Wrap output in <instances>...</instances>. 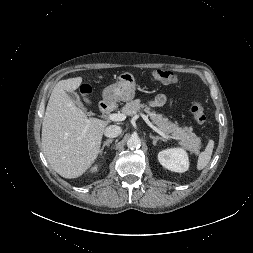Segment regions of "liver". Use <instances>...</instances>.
<instances>
[{
	"mask_svg": "<svg viewBox=\"0 0 253 253\" xmlns=\"http://www.w3.org/2000/svg\"><path fill=\"white\" fill-rule=\"evenodd\" d=\"M81 83L82 77H75L55 85L42 123L43 153L59 175L70 179L81 176L95 162L107 126L103 120L87 118L68 96Z\"/></svg>",
	"mask_w": 253,
	"mask_h": 253,
	"instance_id": "obj_1",
	"label": "liver"
}]
</instances>
